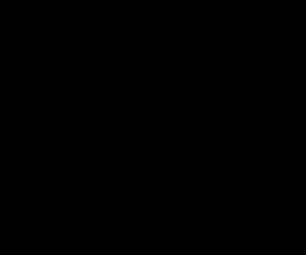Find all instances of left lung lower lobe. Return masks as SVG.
Instances as JSON below:
<instances>
[{
    "mask_svg": "<svg viewBox=\"0 0 306 255\" xmlns=\"http://www.w3.org/2000/svg\"><path fill=\"white\" fill-rule=\"evenodd\" d=\"M220 190L221 187L213 182L184 174L178 183L164 188L163 200L173 212L185 214L187 210L195 213L208 207Z\"/></svg>",
    "mask_w": 306,
    "mask_h": 255,
    "instance_id": "1",
    "label": "left lung lower lobe"
}]
</instances>
